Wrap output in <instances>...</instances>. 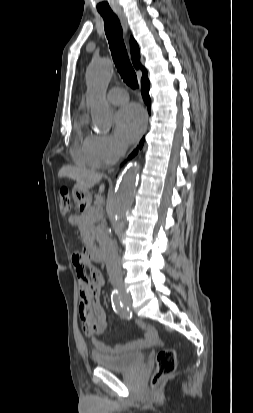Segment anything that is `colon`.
Segmentation results:
<instances>
[{"mask_svg":"<svg viewBox=\"0 0 253 413\" xmlns=\"http://www.w3.org/2000/svg\"><path fill=\"white\" fill-rule=\"evenodd\" d=\"M60 211L63 215L72 209L71 198L67 190H62L59 197ZM176 369V351L172 348L162 349L156 357V370L152 378V386H156L162 379L170 376Z\"/></svg>","mask_w":253,"mask_h":413,"instance_id":"colon-1","label":"colon"}]
</instances>
